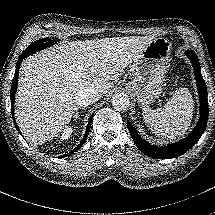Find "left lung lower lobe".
Returning a JSON list of instances; mask_svg holds the SVG:
<instances>
[{
  "mask_svg": "<svg viewBox=\"0 0 215 215\" xmlns=\"http://www.w3.org/2000/svg\"><path fill=\"white\" fill-rule=\"evenodd\" d=\"M188 58L191 60L194 68L195 79L197 81V88L200 97V120L194 130L181 141L170 144L164 147H158L151 145L140 137L133 126L127 123L128 130L131 134L132 139L144 154L152 158L169 159L178 157L190 148H192L197 141L200 139L205 131L208 119V101H207V89L205 81L201 75L200 63L197 55L193 50H188L185 52Z\"/></svg>",
  "mask_w": 215,
  "mask_h": 215,
  "instance_id": "left-lung-lower-lobe-1",
  "label": "left lung lower lobe"
}]
</instances>
